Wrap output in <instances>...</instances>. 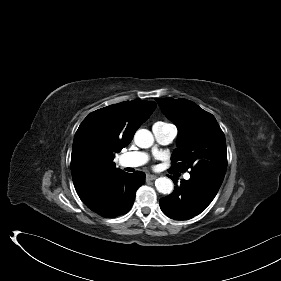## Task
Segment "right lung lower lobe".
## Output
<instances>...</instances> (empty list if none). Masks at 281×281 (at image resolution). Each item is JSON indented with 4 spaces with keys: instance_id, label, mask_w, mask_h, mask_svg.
I'll return each mask as SVG.
<instances>
[{
    "instance_id": "98d812e1",
    "label": "right lung lower lobe",
    "mask_w": 281,
    "mask_h": 281,
    "mask_svg": "<svg viewBox=\"0 0 281 281\" xmlns=\"http://www.w3.org/2000/svg\"><path fill=\"white\" fill-rule=\"evenodd\" d=\"M144 183L145 173L137 171L129 174L118 169L78 195L95 213L103 217H117L131 209L136 191Z\"/></svg>"
}]
</instances>
